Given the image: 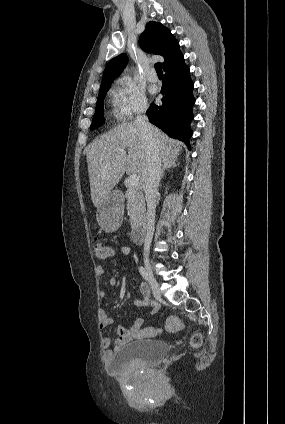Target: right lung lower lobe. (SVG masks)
<instances>
[{"label": "right lung lower lobe", "mask_w": 285, "mask_h": 424, "mask_svg": "<svg viewBox=\"0 0 285 424\" xmlns=\"http://www.w3.org/2000/svg\"><path fill=\"white\" fill-rule=\"evenodd\" d=\"M164 71L161 89L163 103L160 106L152 103L147 111L148 118L168 136L183 141L190 148V122L194 118L192 106L195 103L190 70L183 58Z\"/></svg>", "instance_id": "1"}]
</instances>
